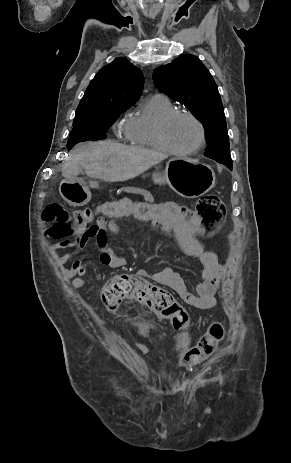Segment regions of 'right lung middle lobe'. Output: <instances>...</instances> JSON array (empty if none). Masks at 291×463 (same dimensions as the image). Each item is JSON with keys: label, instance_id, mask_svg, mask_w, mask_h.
<instances>
[{"label": "right lung middle lobe", "instance_id": "1", "mask_svg": "<svg viewBox=\"0 0 291 463\" xmlns=\"http://www.w3.org/2000/svg\"><path fill=\"white\" fill-rule=\"evenodd\" d=\"M132 105L106 103L96 109L76 113L67 147L71 149L79 142L97 141L106 138L105 132L108 131L119 115Z\"/></svg>", "mask_w": 291, "mask_h": 463}]
</instances>
